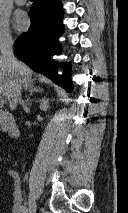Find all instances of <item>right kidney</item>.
Wrapping results in <instances>:
<instances>
[{"instance_id": "right-kidney-1", "label": "right kidney", "mask_w": 128, "mask_h": 213, "mask_svg": "<svg viewBox=\"0 0 128 213\" xmlns=\"http://www.w3.org/2000/svg\"><path fill=\"white\" fill-rule=\"evenodd\" d=\"M49 108V101L48 99H42L41 103H40V109L43 111H47V109Z\"/></svg>"}]
</instances>
